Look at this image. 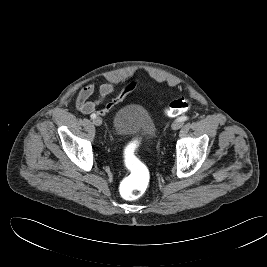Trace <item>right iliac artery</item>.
Wrapping results in <instances>:
<instances>
[{"label":"right iliac artery","instance_id":"1","mask_svg":"<svg viewBox=\"0 0 267 267\" xmlns=\"http://www.w3.org/2000/svg\"><path fill=\"white\" fill-rule=\"evenodd\" d=\"M91 119H95L96 118V114H91Z\"/></svg>","mask_w":267,"mask_h":267}]
</instances>
